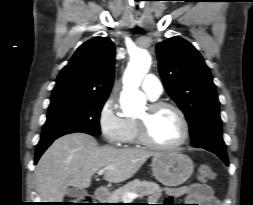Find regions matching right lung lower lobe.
Segmentation results:
<instances>
[{"mask_svg": "<svg viewBox=\"0 0 253 205\" xmlns=\"http://www.w3.org/2000/svg\"><path fill=\"white\" fill-rule=\"evenodd\" d=\"M73 132H68V133H62L58 134L55 136H49V137H43L40 139L37 148H36V153H35V163L39 160L40 156L43 154V152L49 147V145L57 138L60 136H63L65 134H69Z\"/></svg>", "mask_w": 253, "mask_h": 205, "instance_id": "obj_1", "label": "right lung lower lobe"}]
</instances>
